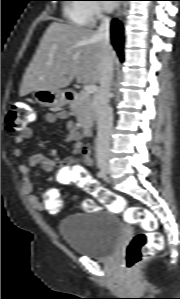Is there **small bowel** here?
Wrapping results in <instances>:
<instances>
[{
    "label": "small bowel",
    "instance_id": "obj_1",
    "mask_svg": "<svg viewBox=\"0 0 180 299\" xmlns=\"http://www.w3.org/2000/svg\"><path fill=\"white\" fill-rule=\"evenodd\" d=\"M45 120L54 124L58 120L66 121V141L73 144V155L68 156L60 161V174L58 176V181L62 184H69L72 182L73 178L81 173L83 170V165H90V147L83 143L82 135L76 127L74 121L69 119L66 111H59L56 113H47L45 115ZM34 132L33 129L27 127L22 130V132L15 136L14 142L16 145H21L25 140L32 138ZM13 154L16 157H21L23 154V149L18 146L13 150ZM78 154H82L83 165L77 164ZM58 164V161L52 158H48L41 153H33L29 156L26 162L21 161L18 163V170L22 174V188L26 193L30 204L37 208L42 209V204L37 195L33 193V182H32V168L40 167L45 171H52Z\"/></svg>",
    "mask_w": 180,
    "mask_h": 299
}]
</instances>
